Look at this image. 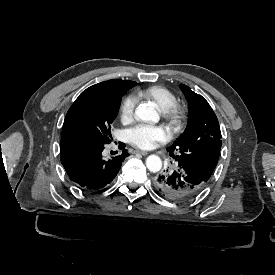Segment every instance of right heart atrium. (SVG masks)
I'll return each instance as SVG.
<instances>
[{"label": "right heart atrium", "mask_w": 275, "mask_h": 275, "mask_svg": "<svg viewBox=\"0 0 275 275\" xmlns=\"http://www.w3.org/2000/svg\"><path fill=\"white\" fill-rule=\"evenodd\" d=\"M135 105L136 99L133 96H127L123 99L120 106V117L123 123L132 121Z\"/></svg>", "instance_id": "d8ad5b80"}]
</instances>
